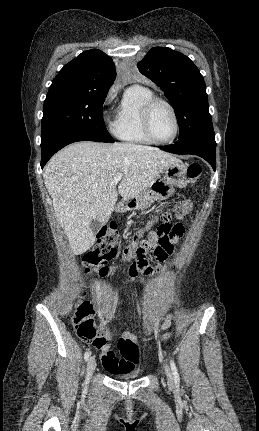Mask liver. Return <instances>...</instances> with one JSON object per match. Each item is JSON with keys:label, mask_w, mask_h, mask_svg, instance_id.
Masks as SVG:
<instances>
[{"label": "liver", "mask_w": 259, "mask_h": 431, "mask_svg": "<svg viewBox=\"0 0 259 431\" xmlns=\"http://www.w3.org/2000/svg\"><path fill=\"white\" fill-rule=\"evenodd\" d=\"M179 161L170 153L130 143L83 141L56 153L43 178L72 252L83 254L94 245L90 222L109 220L118 193L124 200L135 198L168 165ZM117 173L124 175L118 192L113 181Z\"/></svg>", "instance_id": "liver-1"}]
</instances>
